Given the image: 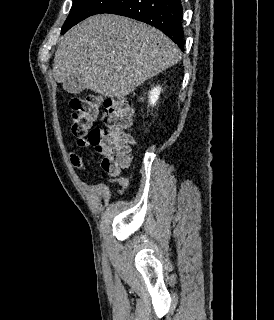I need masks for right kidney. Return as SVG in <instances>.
I'll use <instances>...</instances> for the list:
<instances>
[{
	"label": "right kidney",
	"mask_w": 274,
	"mask_h": 320,
	"mask_svg": "<svg viewBox=\"0 0 274 320\" xmlns=\"http://www.w3.org/2000/svg\"><path fill=\"white\" fill-rule=\"evenodd\" d=\"M160 94H161L160 86H156V88H152L151 92H149V104H150V106H155Z\"/></svg>",
	"instance_id": "obj_1"
}]
</instances>
